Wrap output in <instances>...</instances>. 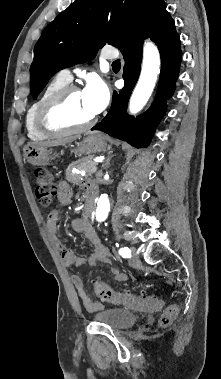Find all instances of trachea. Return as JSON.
I'll use <instances>...</instances> for the list:
<instances>
[{
	"mask_svg": "<svg viewBox=\"0 0 221 379\" xmlns=\"http://www.w3.org/2000/svg\"><path fill=\"white\" fill-rule=\"evenodd\" d=\"M113 65H118L119 66L120 65V60L118 59V60L114 61Z\"/></svg>",
	"mask_w": 221,
	"mask_h": 379,
	"instance_id": "3493384b",
	"label": "trachea"
}]
</instances>
